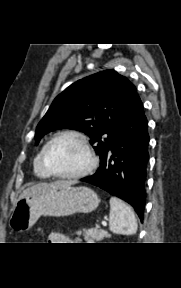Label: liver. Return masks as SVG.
Here are the masks:
<instances>
[{
    "mask_svg": "<svg viewBox=\"0 0 181 288\" xmlns=\"http://www.w3.org/2000/svg\"><path fill=\"white\" fill-rule=\"evenodd\" d=\"M75 182H72V181H57L55 183H51V184H48V183H39L37 185H33L31 187H28L27 189H25L23 191V193L20 195L19 199L20 198H23L25 196H28V195H32V194H36V193H39V192H42L46 189H48L50 186L54 185V184H59V185H70V184H74Z\"/></svg>",
    "mask_w": 181,
    "mask_h": 288,
    "instance_id": "liver-1",
    "label": "liver"
}]
</instances>
